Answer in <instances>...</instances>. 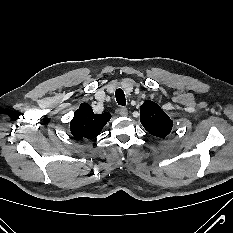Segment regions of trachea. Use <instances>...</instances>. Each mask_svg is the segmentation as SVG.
<instances>
[{
	"mask_svg": "<svg viewBox=\"0 0 233 233\" xmlns=\"http://www.w3.org/2000/svg\"><path fill=\"white\" fill-rule=\"evenodd\" d=\"M116 101L119 105L125 106L126 105V99L125 94L122 89H117L115 93Z\"/></svg>",
	"mask_w": 233,
	"mask_h": 233,
	"instance_id": "obj_1",
	"label": "trachea"
}]
</instances>
